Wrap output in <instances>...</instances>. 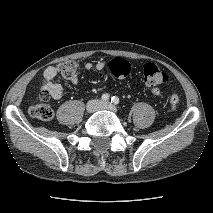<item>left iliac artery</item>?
I'll return each mask as SVG.
<instances>
[{"label":"left iliac artery","instance_id":"1","mask_svg":"<svg viewBox=\"0 0 213 213\" xmlns=\"http://www.w3.org/2000/svg\"><path fill=\"white\" fill-rule=\"evenodd\" d=\"M111 102H112L113 104L117 105V104H119V98L116 97V96H114V97L111 98Z\"/></svg>","mask_w":213,"mask_h":213}]
</instances>
